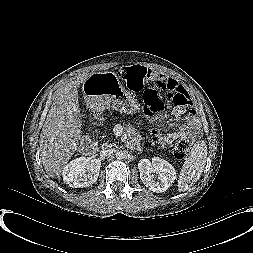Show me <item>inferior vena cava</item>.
<instances>
[{
    "label": "inferior vena cava",
    "instance_id": "obj_1",
    "mask_svg": "<svg viewBox=\"0 0 253 253\" xmlns=\"http://www.w3.org/2000/svg\"><path fill=\"white\" fill-rule=\"evenodd\" d=\"M112 153H113V150H104L103 151V156L111 157Z\"/></svg>",
    "mask_w": 253,
    "mask_h": 253
}]
</instances>
